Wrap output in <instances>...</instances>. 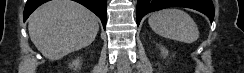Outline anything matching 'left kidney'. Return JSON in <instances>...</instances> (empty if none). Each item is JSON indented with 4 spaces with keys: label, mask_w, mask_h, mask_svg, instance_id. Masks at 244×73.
Returning <instances> with one entry per match:
<instances>
[{
    "label": "left kidney",
    "mask_w": 244,
    "mask_h": 73,
    "mask_svg": "<svg viewBox=\"0 0 244 73\" xmlns=\"http://www.w3.org/2000/svg\"><path fill=\"white\" fill-rule=\"evenodd\" d=\"M160 51L163 57H167L169 55L168 50L162 46H160Z\"/></svg>",
    "instance_id": "1"
}]
</instances>
